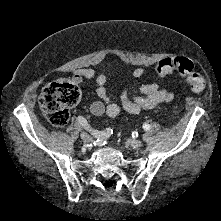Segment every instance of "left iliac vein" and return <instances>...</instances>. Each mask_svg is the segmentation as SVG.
Listing matches in <instances>:
<instances>
[{
  "instance_id": "left-iliac-vein-1",
  "label": "left iliac vein",
  "mask_w": 221,
  "mask_h": 221,
  "mask_svg": "<svg viewBox=\"0 0 221 221\" xmlns=\"http://www.w3.org/2000/svg\"><path fill=\"white\" fill-rule=\"evenodd\" d=\"M130 145H131L133 148H139V147H141V145H142V141H141V140H138V139H132V140H130Z\"/></svg>"
}]
</instances>
